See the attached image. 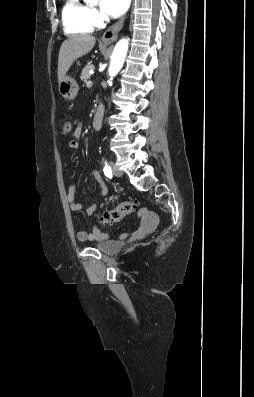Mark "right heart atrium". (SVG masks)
I'll list each match as a JSON object with an SVG mask.
<instances>
[{
	"label": "right heart atrium",
	"instance_id": "right-heart-atrium-1",
	"mask_svg": "<svg viewBox=\"0 0 254 397\" xmlns=\"http://www.w3.org/2000/svg\"><path fill=\"white\" fill-rule=\"evenodd\" d=\"M90 17L95 26L100 25L102 22V16L95 8H90Z\"/></svg>",
	"mask_w": 254,
	"mask_h": 397
}]
</instances>
